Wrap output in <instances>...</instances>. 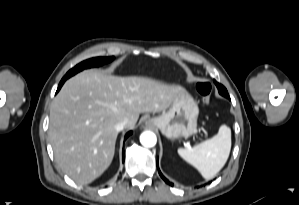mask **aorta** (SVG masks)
<instances>
[{
    "label": "aorta",
    "mask_w": 299,
    "mask_h": 205,
    "mask_svg": "<svg viewBox=\"0 0 299 205\" xmlns=\"http://www.w3.org/2000/svg\"><path fill=\"white\" fill-rule=\"evenodd\" d=\"M140 142L144 147H153L156 145L157 137L151 131H145L140 135Z\"/></svg>",
    "instance_id": "1"
}]
</instances>
